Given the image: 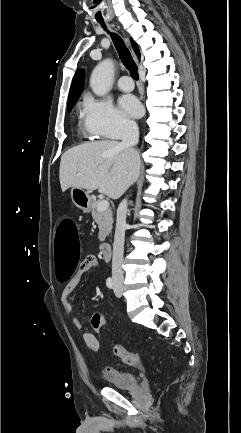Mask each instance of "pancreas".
Instances as JSON below:
<instances>
[{"label":"pancreas","instance_id":"1","mask_svg":"<svg viewBox=\"0 0 241 433\" xmlns=\"http://www.w3.org/2000/svg\"><path fill=\"white\" fill-rule=\"evenodd\" d=\"M98 201H93L91 205V214L94 222L98 224L99 227V235L98 238L101 242H103L106 236L111 232L113 225V213L111 209H107L105 211H98Z\"/></svg>","mask_w":241,"mask_h":433}]
</instances>
